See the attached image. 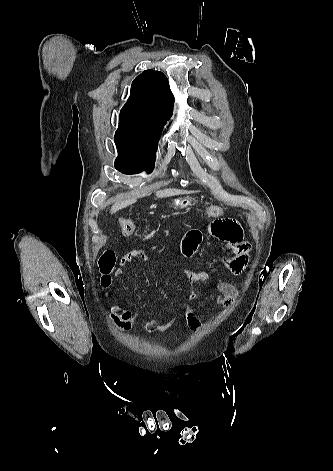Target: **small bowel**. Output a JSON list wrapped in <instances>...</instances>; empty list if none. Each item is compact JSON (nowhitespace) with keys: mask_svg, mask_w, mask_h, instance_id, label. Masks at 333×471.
Masks as SVG:
<instances>
[{"mask_svg":"<svg viewBox=\"0 0 333 471\" xmlns=\"http://www.w3.org/2000/svg\"><path fill=\"white\" fill-rule=\"evenodd\" d=\"M214 220L209 224L206 232L210 236L222 241L229 250V256L224 260V267L231 275H239L245 271L250 262L251 245L244 239V232L240 221L233 217H213ZM204 233L202 230L195 229L190 231L182 241L183 253L187 256L193 255L203 240ZM134 259H140L143 262L148 261L149 257L145 251L139 249H132L125 253L120 259L119 265L123 267ZM184 275L188 279L191 287L189 294L190 300L197 299V292L194 285L204 283L211 280V274L207 271H193L185 269ZM123 272L118 268L115 276H122ZM217 294L214 296V301L218 305L224 307L232 306L239 296L238 285L219 281L215 284ZM186 324L194 331L202 328L200 319L195 315L194 311L188 307L183 313ZM111 321L123 331L130 330L135 322L140 319L138 313L132 312L128 309L122 308L114 304L110 313ZM177 317H173L166 322H161L157 318L142 319L141 327L147 332L164 333L169 331L176 324Z\"/></svg>","mask_w":333,"mask_h":471,"instance_id":"small-bowel-1","label":"small bowel"}]
</instances>
